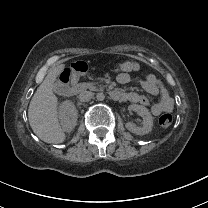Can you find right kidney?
I'll return each instance as SVG.
<instances>
[{
	"label": "right kidney",
	"instance_id": "obj_1",
	"mask_svg": "<svg viewBox=\"0 0 208 208\" xmlns=\"http://www.w3.org/2000/svg\"><path fill=\"white\" fill-rule=\"evenodd\" d=\"M59 117L62 122L63 130L66 132L72 131L78 119V112L71 101H65L60 106Z\"/></svg>",
	"mask_w": 208,
	"mask_h": 208
}]
</instances>
